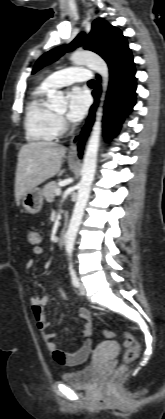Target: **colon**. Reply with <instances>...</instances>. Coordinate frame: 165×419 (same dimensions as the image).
Instances as JSON below:
<instances>
[{"label":"colon","mask_w":165,"mask_h":419,"mask_svg":"<svg viewBox=\"0 0 165 419\" xmlns=\"http://www.w3.org/2000/svg\"><path fill=\"white\" fill-rule=\"evenodd\" d=\"M31 241L36 242L37 237L35 235L31 236ZM103 336L106 338L113 337V333L110 330H103ZM124 347L125 351L123 354L122 363L117 367L113 375L110 377L108 384L113 386L121 378L123 372L125 371L128 364L133 362L139 355L140 345L135 339V337L130 333L124 334Z\"/></svg>","instance_id":"obj_1"}]
</instances>
